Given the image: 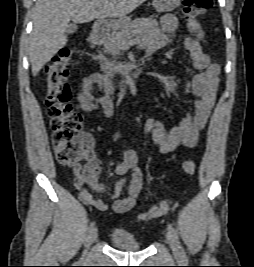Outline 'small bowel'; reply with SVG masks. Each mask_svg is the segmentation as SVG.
Instances as JSON below:
<instances>
[{"instance_id": "1", "label": "small bowel", "mask_w": 254, "mask_h": 267, "mask_svg": "<svg viewBox=\"0 0 254 267\" xmlns=\"http://www.w3.org/2000/svg\"><path fill=\"white\" fill-rule=\"evenodd\" d=\"M178 26L179 22L175 15H164L160 21V29L145 42L147 55L151 56L171 43L172 35L177 31ZM187 28L191 35L184 39L183 44L189 52L193 66L201 71L187 84L186 89L187 93L197 98L195 113L186 116L178 126L172 129H166L159 120L154 118H149L144 122V135L151 136L152 141L158 146L161 153L172 152L180 145L188 148L195 147L198 143L199 133L205 127L216 99L220 68L217 64L211 62L210 57L203 49L202 45L206 43V40L200 23L191 20L187 24ZM98 88L104 90L103 95H95ZM76 100L77 109L80 111H99L107 117L112 116L115 111V104L111 77L100 73L88 75L80 85ZM100 170L101 163L95 158L90 160L84 168L82 166L73 168L74 185L84 203L92 205L100 211H107L109 206L102 200L93 199L84 188V185L87 184L98 193L106 191V186L98 179ZM128 172H130L128 196L119 198L125 186L123 180L117 182L111 195L114 199L112 209L115 213L130 211L136 205L142 188L143 175L138 167V159L133 150L125 153L123 160L115 169V173L120 176Z\"/></svg>"}]
</instances>
